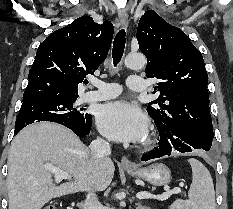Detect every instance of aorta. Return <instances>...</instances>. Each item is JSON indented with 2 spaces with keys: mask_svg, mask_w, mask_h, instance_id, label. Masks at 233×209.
<instances>
[{
  "mask_svg": "<svg viewBox=\"0 0 233 209\" xmlns=\"http://www.w3.org/2000/svg\"><path fill=\"white\" fill-rule=\"evenodd\" d=\"M124 63L130 69H142L146 65V58L142 54H128Z\"/></svg>",
  "mask_w": 233,
  "mask_h": 209,
  "instance_id": "1",
  "label": "aorta"
}]
</instances>
